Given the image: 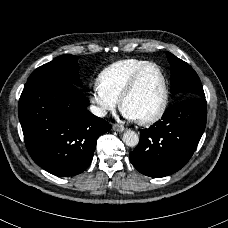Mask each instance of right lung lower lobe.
<instances>
[{"instance_id": "1", "label": "right lung lower lobe", "mask_w": 228, "mask_h": 228, "mask_svg": "<svg viewBox=\"0 0 228 228\" xmlns=\"http://www.w3.org/2000/svg\"><path fill=\"white\" fill-rule=\"evenodd\" d=\"M88 98L65 78L27 82L18 113L31 158L56 176H74L91 163L98 137L110 128L87 110Z\"/></svg>"}]
</instances>
